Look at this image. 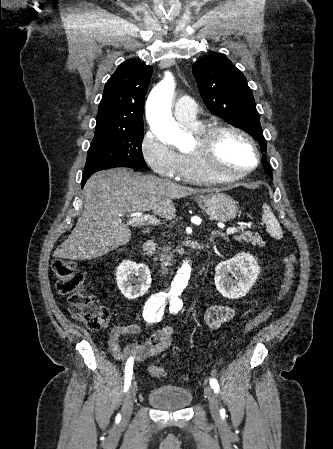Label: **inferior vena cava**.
<instances>
[{"mask_svg": "<svg viewBox=\"0 0 333 449\" xmlns=\"http://www.w3.org/2000/svg\"><path fill=\"white\" fill-rule=\"evenodd\" d=\"M173 258V253L171 252V246H166L162 248L160 254V261L162 266V274H166L169 271V266Z\"/></svg>", "mask_w": 333, "mask_h": 449, "instance_id": "602c4592", "label": "inferior vena cava"}]
</instances>
